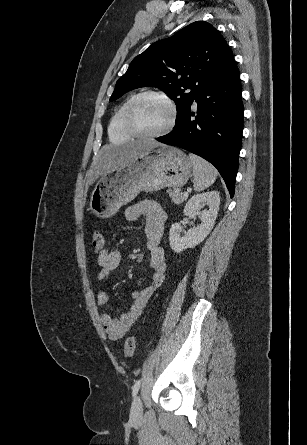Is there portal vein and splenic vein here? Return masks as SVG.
Here are the masks:
<instances>
[{
    "label": "portal vein and splenic vein",
    "mask_w": 307,
    "mask_h": 445,
    "mask_svg": "<svg viewBox=\"0 0 307 445\" xmlns=\"http://www.w3.org/2000/svg\"><path fill=\"white\" fill-rule=\"evenodd\" d=\"M187 190H190V188H187ZM183 196H186V198H187L188 192H184Z\"/></svg>",
    "instance_id": "1"
}]
</instances>
